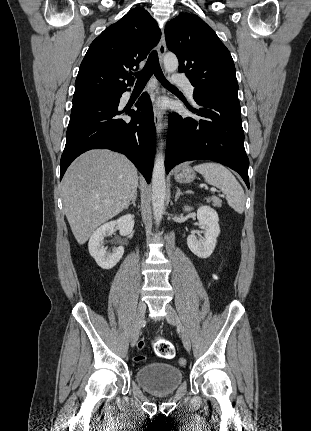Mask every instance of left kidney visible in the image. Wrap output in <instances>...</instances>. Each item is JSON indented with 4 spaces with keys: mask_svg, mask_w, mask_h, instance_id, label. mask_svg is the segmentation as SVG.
Wrapping results in <instances>:
<instances>
[{
    "mask_svg": "<svg viewBox=\"0 0 311 431\" xmlns=\"http://www.w3.org/2000/svg\"><path fill=\"white\" fill-rule=\"evenodd\" d=\"M193 208L184 206V212H190ZM197 219H199V227L204 231V237H196V235H188L187 243L189 249L198 255V257H210L216 247L217 237L220 233V225L218 223L219 216L210 206H200L197 210Z\"/></svg>",
    "mask_w": 311,
    "mask_h": 431,
    "instance_id": "obj_1",
    "label": "left kidney"
}]
</instances>
